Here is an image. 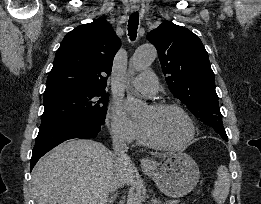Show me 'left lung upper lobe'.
<instances>
[{
	"instance_id": "5c2ea615",
	"label": "left lung upper lobe",
	"mask_w": 261,
	"mask_h": 204,
	"mask_svg": "<svg viewBox=\"0 0 261 204\" xmlns=\"http://www.w3.org/2000/svg\"><path fill=\"white\" fill-rule=\"evenodd\" d=\"M157 48L170 91L193 115L228 141L215 91L214 73L199 37L185 27L164 22L147 34Z\"/></svg>"
}]
</instances>
